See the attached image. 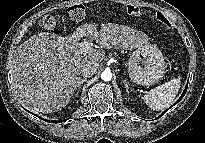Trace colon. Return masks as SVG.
<instances>
[{
    "instance_id": "colon-1",
    "label": "colon",
    "mask_w": 205,
    "mask_h": 143,
    "mask_svg": "<svg viewBox=\"0 0 205 143\" xmlns=\"http://www.w3.org/2000/svg\"><path fill=\"white\" fill-rule=\"evenodd\" d=\"M67 12L72 20L79 21L85 17L86 10L85 6L82 4H74L68 8ZM126 12L131 16L139 17L143 15L146 11L136 5H127ZM156 18L165 26H171L170 21L162 13H157ZM40 26L46 30H53L56 26V18L52 14L44 15L40 20Z\"/></svg>"
}]
</instances>
